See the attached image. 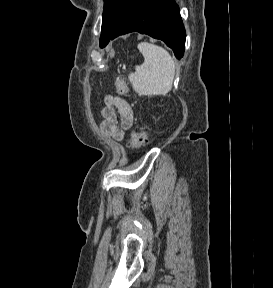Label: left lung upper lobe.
Wrapping results in <instances>:
<instances>
[{
  "instance_id": "left-lung-upper-lobe-1",
  "label": "left lung upper lobe",
  "mask_w": 273,
  "mask_h": 288,
  "mask_svg": "<svg viewBox=\"0 0 273 288\" xmlns=\"http://www.w3.org/2000/svg\"><path fill=\"white\" fill-rule=\"evenodd\" d=\"M131 1L132 0H104L100 47L111 39Z\"/></svg>"
}]
</instances>
